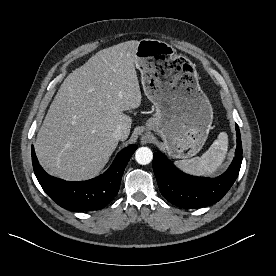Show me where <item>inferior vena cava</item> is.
Listing matches in <instances>:
<instances>
[{"instance_id":"obj_1","label":"inferior vena cava","mask_w":276,"mask_h":276,"mask_svg":"<svg viewBox=\"0 0 276 276\" xmlns=\"http://www.w3.org/2000/svg\"><path fill=\"white\" fill-rule=\"evenodd\" d=\"M127 136H128L127 131L121 125H119L113 132V137L116 140H124Z\"/></svg>"}]
</instances>
